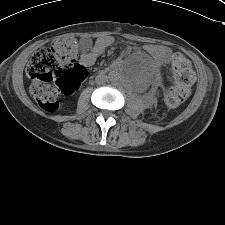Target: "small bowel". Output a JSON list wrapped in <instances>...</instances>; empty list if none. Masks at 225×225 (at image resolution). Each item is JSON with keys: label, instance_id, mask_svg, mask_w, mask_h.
<instances>
[{"label": "small bowel", "instance_id": "small-bowel-1", "mask_svg": "<svg viewBox=\"0 0 225 225\" xmlns=\"http://www.w3.org/2000/svg\"><path fill=\"white\" fill-rule=\"evenodd\" d=\"M114 42V38L111 36H101L97 38L92 49L86 53H84L81 57V62L86 66H91L95 63L98 56H100L104 50L112 45ZM148 51L154 57V65L155 71L158 70V67L168 61L171 57L170 50L165 46H153L148 48ZM134 54L132 51H126L125 56H131Z\"/></svg>", "mask_w": 225, "mask_h": 225}]
</instances>
